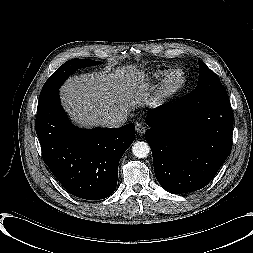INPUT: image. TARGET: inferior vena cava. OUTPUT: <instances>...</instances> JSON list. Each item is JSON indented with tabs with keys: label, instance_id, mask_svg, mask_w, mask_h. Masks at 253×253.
I'll list each match as a JSON object with an SVG mask.
<instances>
[{
	"label": "inferior vena cava",
	"instance_id": "inferior-vena-cava-1",
	"mask_svg": "<svg viewBox=\"0 0 253 253\" xmlns=\"http://www.w3.org/2000/svg\"><path fill=\"white\" fill-rule=\"evenodd\" d=\"M127 121V117L125 115H116L111 116L106 120V126L111 128L121 127Z\"/></svg>",
	"mask_w": 253,
	"mask_h": 253
}]
</instances>
